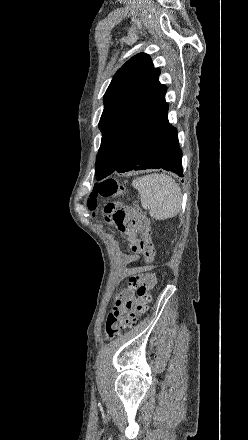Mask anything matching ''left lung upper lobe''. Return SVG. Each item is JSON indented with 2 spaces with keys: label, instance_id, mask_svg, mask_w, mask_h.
I'll return each instance as SVG.
<instances>
[{
  "label": "left lung upper lobe",
  "instance_id": "5c2ea615",
  "mask_svg": "<svg viewBox=\"0 0 248 440\" xmlns=\"http://www.w3.org/2000/svg\"><path fill=\"white\" fill-rule=\"evenodd\" d=\"M148 54L127 61L113 77L105 95L99 128L102 141L96 159V179L110 175L126 153L168 118L166 87L160 84Z\"/></svg>",
  "mask_w": 248,
  "mask_h": 440
}]
</instances>
